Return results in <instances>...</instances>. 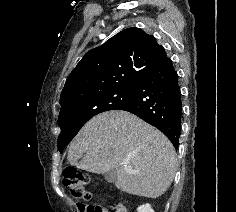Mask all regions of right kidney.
I'll return each instance as SVG.
<instances>
[{
	"instance_id": "1",
	"label": "right kidney",
	"mask_w": 236,
	"mask_h": 212,
	"mask_svg": "<svg viewBox=\"0 0 236 212\" xmlns=\"http://www.w3.org/2000/svg\"><path fill=\"white\" fill-rule=\"evenodd\" d=\"M137 212H154V210L151 208V205L144 204L137 208Z\"/></svg>"
}]
</instances>
